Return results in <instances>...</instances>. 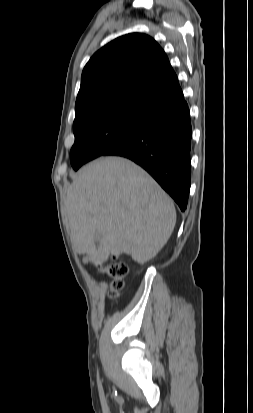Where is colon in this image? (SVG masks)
Masks as SVG:
<instances>
[{
  "label": "colon",
  "instance_id": "colon-1",
  "mask_svg": "<svg viewBox=\"0 0 253 413\" xmlns=\"http://www.w3.org/2000/svg\"><path fill=\"white\" fill-rule=\"evenodd\" d=\"M101 271L111 279L110 297H117L123 288V278L128 273L127 265L113 258L107 265L101 268Z\"/></svg>",
  "mask_w": 253,
  "mask_h": 413
}]
</instances>
